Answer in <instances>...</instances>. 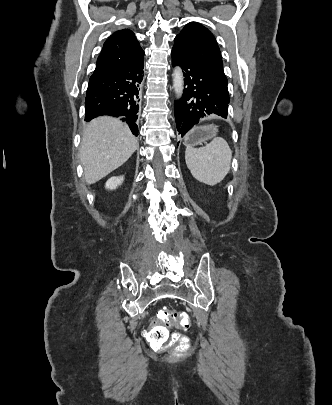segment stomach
<instances>
[{"label": "stomach", "mask_w": 332, "mask_h": 405, "mask_svg": "<svg viewBox=\"0 0 332 405\" xmlns=\"http://www.w3.org/2000/svg\"><path fill=\"white\" fill-rule=\"evenodd\" d=\"M217 135V128L213 125L197 126L185 137L184 144L187 147H195L208 140L214 139Z\"/></svg>", "instance_id": "0dacf381"}]
</instances>
